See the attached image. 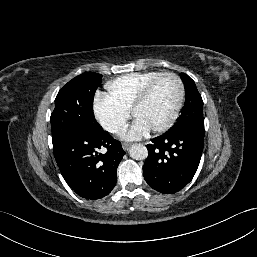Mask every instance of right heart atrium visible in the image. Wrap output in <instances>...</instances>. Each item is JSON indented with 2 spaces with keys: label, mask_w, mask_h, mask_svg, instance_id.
Segmentation results:
<instances>
[{
  "label": "right heart atrium",
  "mask_w": 257,
  "mask_h": 257,
  "mask_svg": "<svg viewBox=\"0 0 257 257\" xmlns=\"http://www.w3.org/2000/svg\"><path fill=\"white\" fill-rule=\"evenodd\" d=\"M100 104H106L107 106H109L115 110V112L117 113V119L114 122L108 124V123H105L100 118L99 113H98V106ZM94 115H95L96 120L100 124V126L105 131H107L111 135H118L122 131V129L127 121L129 112L125 111L120 106L115 104L107 95L100 94L97 96V99H96V102L94 105Z\"/></svg>",
  "instance_id": "1"
}]
</instances>
